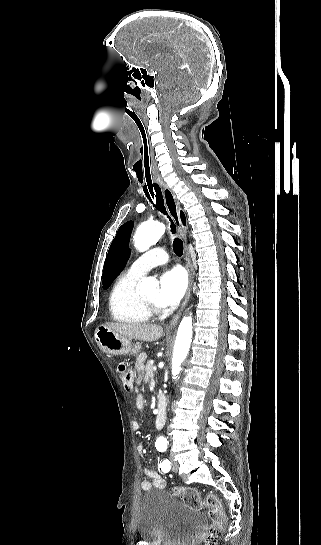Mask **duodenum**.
<instances>
[{"instance_id": "410a0bca", "label": "duodenum", "mask_w": 321, "mask_h": 545, "mask_svg": "<svg viewBox=\"0 0 321 545\" xmlns=\"http://www.w3.org/2000/svg\"><path fill=\"white\" fill-rule=\"evenodd\" d=\"M166 419V398L163 393L157 394V415L155 419L156 427L162 429Z\"/></svg>"}]
</instances>
